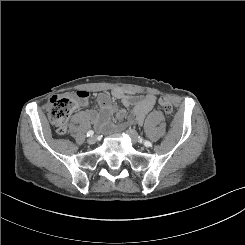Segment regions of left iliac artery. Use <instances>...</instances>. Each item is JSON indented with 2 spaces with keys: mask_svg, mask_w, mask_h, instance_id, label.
I'll return each instance as SVG.
<instances>
[{
  "mask_svg": "<svg viewBox=\"0 0 245 245\" xmlns=\"http://www.w3.org/2000/svg\"><path fill=\"white\" fill-rule=\"evenodd\" d=\"M140 142H143L146 147H151L152 143L149 141H144L142 138H140Z\"/></svg>",
  "mask_w": 245,
  "mask_h": 245,
  "instance_id": "left-iliac-artery-1",
  "label": "left iliac artery"
}]
</instances>
